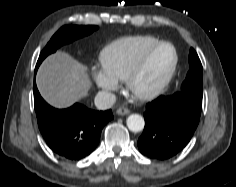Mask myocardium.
<instances>
[{
    "instance_id": "1",
    "label": "myocardium",
    "mask_w": 236,
    "mask_h": 187,
    "mask_svg": "<svg viewBox=\"0 0 236 187\" xmlns=\"http://www.w3.org/2000/svg\"><path fill=\"white\" fill-rule=\"evenodd\" d=\"M163 46H168L173 51V61H172V64H171L169 70L167 71L166 75L163 77V79L160 81V83L156 87H154L153 89H151L149 91L136 90L134 87V84H135L137 78L140 76V74L144 70L148 60L150 59V57L152 56V54L156 50H158L159 48H161ZM178 60H179V58H178L177 50H176L175 46L173 44H171L170 42L159 41L158 43L154 44L153 46L148 48L142 54V56L139 58L137 63L134 65L132 70L127 75V77L125 79V84H126V88H127L128 92L134 98L141 100V101H149V100H153V99L157 98L165 91V89L168 87L171 80L173 79L174 74L177 69Z\"/></svg>"
}]
</instances>
